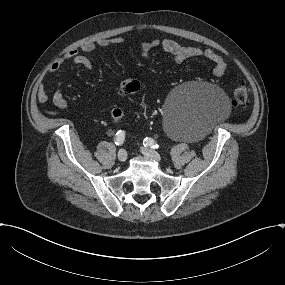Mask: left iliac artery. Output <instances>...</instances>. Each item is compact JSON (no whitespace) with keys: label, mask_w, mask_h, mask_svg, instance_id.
<instances>
[{"label":"left iliac artery","mask_w":285,"mask_h":285,"mask_svg":"<svg viewBox=\"0 0 285 285\" xmlns=\"http://www.w3.org/2000/svg\"><path fill=\"white\" fill-rule=\"evenodd\" d=\"M144 146L145 147H151L153 149H158L159 148V144L156 143L152 138H148V137H146L144 139Z\"/></svg>","instance_id":"1"}]
</instances>
